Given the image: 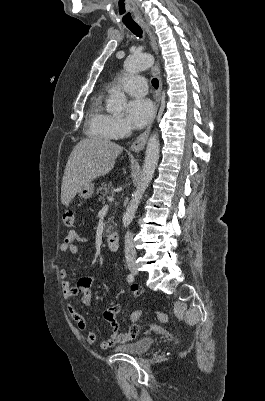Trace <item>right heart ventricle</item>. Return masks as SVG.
Instances as JSON below:
<instances>
[{"instance_id": "e07e8e85", "label": "right heart ventricle", "mask_w": 265, "mask_h": 401, "mask_svg": "<svg viewBox=\"0 0 265 401\" xmlns=\"http://www.w3.org/2000/svg\"><path fill=\"white\" fill-rule=\"evenodd\" d=\"M106 97L102 92L94 93L89 98L87 115L89 116L88 128L90 133L104 141H113L116 137L109 126L111 116L105 104Z\"/></svg>"}]
</instances>
